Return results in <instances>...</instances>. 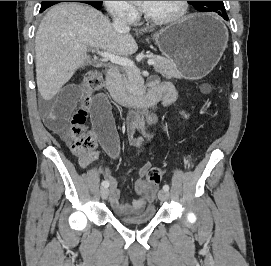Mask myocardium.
<instances>
[{
  "label": "myocardium",
  "instance_id": "f54148a6",
  "mask_svg": "<svg viewBox=\"0 0 271 266\" xmlns=\"http://www.w3.org/2000/svg\"><path fill=\"white\" fill-rule=\"evenodd\" d=\"M179 9L178 11L170 16H165V17H155L147 12H143L144 18L152 23L159 24V25H166V24H173L181 21L187 14L189 4L188 1H179Z\"/></svg>",
  "mask_w": 271,
  "mask_h": 266
}]
</instances>
